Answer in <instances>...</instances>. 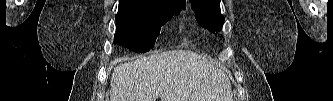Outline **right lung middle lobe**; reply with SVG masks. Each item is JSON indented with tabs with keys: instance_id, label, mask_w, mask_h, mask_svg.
Masks as SVG:
<instances>
[{
	"instance_id": "1",
	"label": "right lung middle lobe",
	"mask_w": 333,
	"mask_h": 101,
	"mask_svg": "<svg viewBox=\"0 0 333 101\" xmlns=\"http://www.w3.org/2000/svg\"><path fill=\"white\" fill-rule=\"evenodd\" d=\"M186 3L170 0H119L114 42L135 52L153 48L160 27Z\"/></svg>"
}]
</instances>
